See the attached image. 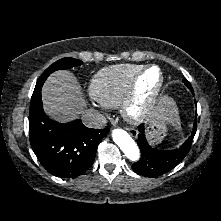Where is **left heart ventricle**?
Masks as SVG:
<instances>
[{
    "mask_svg": "<svg viewBox=\"0 0 221 221\" xmlns=\"http://www.w3.org/2000/svg\"><path fill=\"white\" fill-rule=\"evenodd\" d=\"M158 71L155 69L150 70L139 83V92L142 97L146 98L156 87L158 83Z\"/></svg>",
    "mask_w": 221,
    "mask_h": 221,
    "instance_id": "b2bd125f",
    "label": "left heart ventricle"
}]
</instances>
